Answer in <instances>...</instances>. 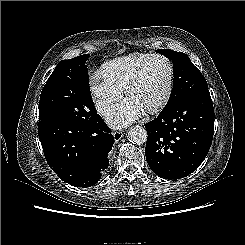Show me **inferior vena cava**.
<instances>
[{
  "instance_id": "inferior-vena-cava-1",
  "label": "inferior vena cava",
  "mask_w": 245,
  "mask_h": 245,
  "mask_svg": "<svg viewBox=\"0 0 245 245\" xmlns=\"http://www.w3.org/2000/svg\"><path fill=\"white\" fill-rule=\"evenodd\" d=\"M108 107V103L105 101H98L96 103V109L100 114H103Z\"/></svg>"
}]
</instances>
